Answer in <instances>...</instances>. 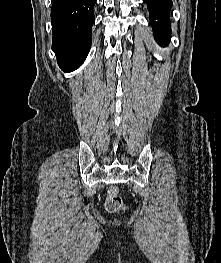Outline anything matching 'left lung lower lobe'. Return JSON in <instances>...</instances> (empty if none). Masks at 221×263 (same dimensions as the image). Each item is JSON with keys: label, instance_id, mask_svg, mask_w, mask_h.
Segmentation results:
<instances>
[{"label": "left lung lower lobe", "instance_id": "1", "mask_svg": "<svg viewBox=\"0 0 221 263\" xmlns=\"http://www.w3.org/2000/svg\"><path fill=\"white\" fill-rule=\"evenodd\" d=\"M149 9V19L152 25L155 39L165 46L169 41L171 23L169 13L172 7L171 0H143Z\"/></svg>", "mask_w": 221, "mask_h": 263}]
</instances>
